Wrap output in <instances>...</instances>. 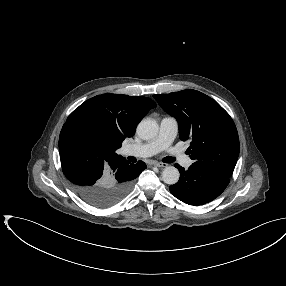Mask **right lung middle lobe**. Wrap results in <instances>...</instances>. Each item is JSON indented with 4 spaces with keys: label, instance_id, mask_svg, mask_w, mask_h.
I'll return each instance as SVG.
<instances>
[{
    "label": "right lung middle lobe",
    "instance_id": "dd1d6c3e",
    "mask_svg": "<svg viewBox=\"0 0 286 286\" xmlns=\"http://www.w3.org/2000/svg\"><path fill=\"white\" fill-rule=\"evenodd\" d=\"M89 137H91V135L89 134V133H87V132H85Z\"/></svg>",
    "mask_w": 286,
    "mask_h": 286
}]
</instances>
